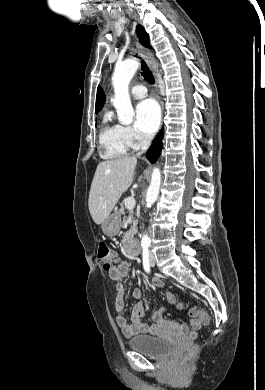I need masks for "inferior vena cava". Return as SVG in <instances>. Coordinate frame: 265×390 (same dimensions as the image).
Segmentation results:
<instances>
[{
	"label": "inferior vena cava",
	"instance_id": "inferior-vena-cava-1",
	"mask_svg": "<svg viewBox=\"0 0 265 390\" xmlns=\"http://www.w3.org/2000/svg\"><path fill=\"white\" fill-rule=\"evenodd\" d=\"M151 140H152L151 135H143V139L141 141V152L140 153H143L148 149Z\"/></svg>",
	"mask_w": 265,
	"mask_h": 390
}]
</instances>
